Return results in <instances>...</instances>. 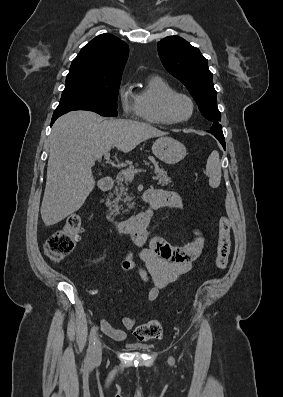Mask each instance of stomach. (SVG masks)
<instances>
[{
  "mask_svg": "<svg viewBox=\"0 0 283 397\" xmlns=\"http://www.w3.org/2000/svg\"><path fill=\"white\" fill-rule=\"evenodd\" d=\"M153 154L168 165L181 161L186 156L185 146L171 137H160L152 146Z\"/></svg>",
  "mask_w": 283,
  "mask_h": 397,
  "instance_id": "obj_1",
  "label": "stomach"
}]
</instances>
